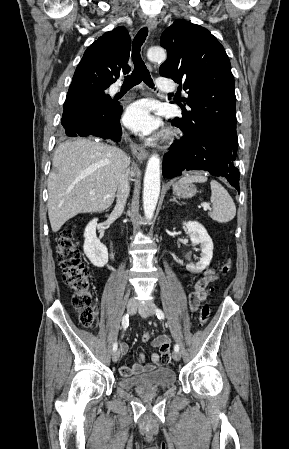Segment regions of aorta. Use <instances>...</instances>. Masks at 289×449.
<instances>
[{
  "mask_svg": "<svg viewBox=\"0 0 289 449\" xmlns=\"http://www.w3.org/2000/svg\"><path fill=\"white\" fill-rule=\"evenodd\" d=\"M147 57L152 62L166 60V52L161 47H152L147 52ZM160 194V158L157 154L151 155L147 162L144 176L143 208L147 219H151L157 205Z\"/></svg>",
  "mask_w": 289,
  "mask_h": 449,
  "instance_id": "1",
  "label": "aorta"
}]
</instances>
